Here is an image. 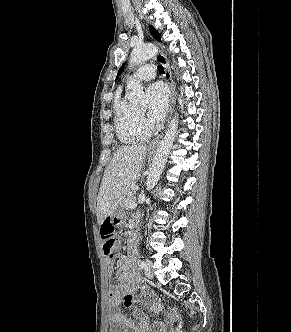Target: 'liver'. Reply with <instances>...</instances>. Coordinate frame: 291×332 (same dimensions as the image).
Masks as SVG:
<instances>
[{"label": "liver", "mask_w": 291, "mask_h": 332, "mask_svg": "<svg viewBox=\"0 0 291 332\" xmlns=\"http://www.w3.org/2000/svg\"><path fill=\"white\" fill-rule=\"evenodd\" d=\"M147 151L146 145L135 144L124 146L114 154L105 169L97 197L99 225L115 213L123 193L140 174Z\"/></svg>", "instance_id": "obj_1"}]
</instances>
